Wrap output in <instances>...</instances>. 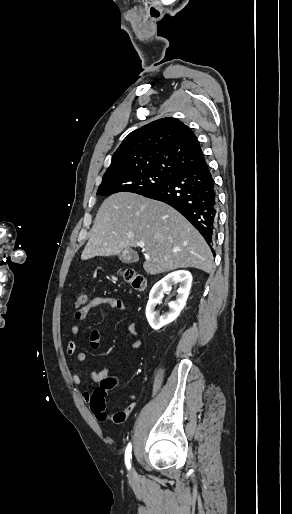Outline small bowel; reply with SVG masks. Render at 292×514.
I'll use <instances>...</instances> for the list:
<instances>
[{
    "mask_svg": "<svg viewBox=\"0 0 292 514\" xmlns=\"http://www.w3.org/2000/svg\"><path fill=\"white\" fill-rule=\"evenodd\" d=\"M107 306L111 309L117 310L119 312H127L128 306L127 304L120 298L111 297V296H95L89 300L87 305L80 310H76L74 312V319L78 322L83 321L87 318L89 312L92 309ZM129 330L132 334L131 346L135 349L141 346V340L138 338V325L136 322L131 321L129 324ZM71 336L73 338H77L80 335V328L78 325H73L70 329ZM90 346L93 349H98L100 347V332L98 329H93L90 332ZM78 343L76 340H70L67 343L66 351L68 354L75 355V365L72 370V381L76 386H83L84 382L80 375V365L85 361V354L82 352H77ZM108 366L104 365L103 370L101 371H92L89 374V377L93 381H100L108 375ZM81 397L84 401H88L90 399V392L83 391ZM133 405L137 404V397L132 395L130 397Z\"/></svg>",
    "mask_w": 292,
    "mask_h": 514,
    "instance_id": "1",
    "label": "small bowel"
}]
</instances>
